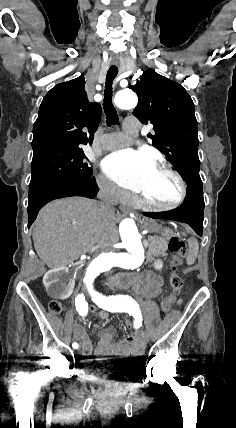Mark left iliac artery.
<instances>
[{
  "instance_id": "44dca946",
  "label": "left iliac artery",
  "mask_w": 236,
  "mask_h": 428,
  "mask_svg": "<svg viewBox=\"0 0 236 428\" xmlns=\"http://www.w3.org/2000/svg\"><path fill=\"white\" fill-rule=\"evenodd\" d=\"M92 301L99 308L109 312H127L128 310L138 306L137 302L128 295L103 296L95 291H89Z\"/></svg>"
}]
</instances>
